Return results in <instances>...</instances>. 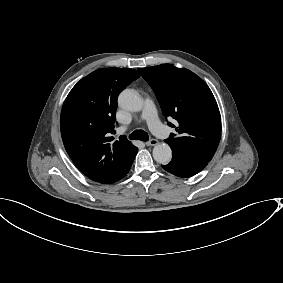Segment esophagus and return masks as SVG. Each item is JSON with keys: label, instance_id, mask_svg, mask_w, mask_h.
I'll return each instance as SVG.
<instances>
[{"label": "esophagus", "instance_id": "esophagus-1", "mask_svg": "<svg viewBox=\"0 0 283 283\" xmlns=\"http://www.w3.org/2000/svg\"><path fill=\"white\" fill-rule=\"evenodd\" d=\"M159 142L156 139H151L150 141L146 142V146H155L157 145Z\"/></svg>", "mask_w": 283, "mask_h": 283}]
</instances>
